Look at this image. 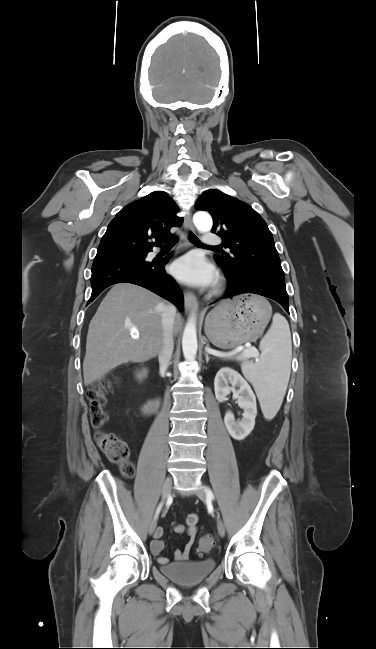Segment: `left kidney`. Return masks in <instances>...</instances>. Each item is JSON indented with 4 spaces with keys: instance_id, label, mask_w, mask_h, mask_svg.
Here are the masks:
<instances>
[{
    "instance_id": "1",
    "label": "left kidney",
    "mask_w": 376,
    "mask_h": 649,
    "mask_svg": "<svg viewBox=\"0 0 376 649\" xmlns=\"http://www.w3.org/2000/svg\"><path fill=\"white\" fill-rule=\"evenodd\" d=\"M231 384V386L229 385ZM238 388V389H236ZM214 391L219 402L227 400L233 392L238 397V405L244 410L241 421H236L231 411H227L224 422L229 434L236 440H243L253 430L257 415L256 396L248 382L235 370L222 368L215 376Z\"/></svg>"
}]
</instances>
